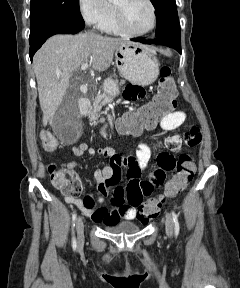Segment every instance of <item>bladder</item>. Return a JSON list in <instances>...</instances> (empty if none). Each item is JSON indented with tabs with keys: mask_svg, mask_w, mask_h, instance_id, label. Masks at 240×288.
<instances>
[{
	"mask_svg": "<svg viewBox=\"0 0 240 288\" xmlns=\"http://www.w3.org/2000/svg\"><path fill=\"white\" fill-rule=\"evenodd\" d=\"M105 231L110 233L133 234L140 230V227L129 221L118 222L105 226Z\"/></svg>",
	"mask_w": 240,
	"mask_h": 288,
	"instance_id": "obj_1",
	"label": "bladder"
}]
</instances>
